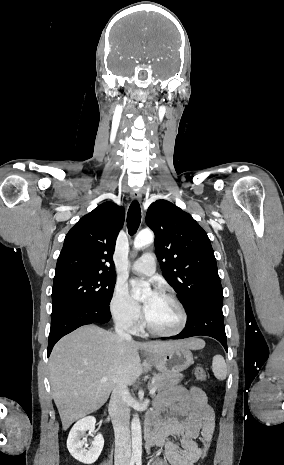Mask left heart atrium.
<instances>
[{
    "label": "left heart atrium",
    "instance_id": "left-heart-atrium-1",
    "mask_svg": "<svg viewBox=\"0 0 284 465\" xmlns=\"http://www.w3.org/2000/svg\"><path fill=\"white\" fill-rule=\"evenodd\" d=\"M135 287H136V284H133V285H132L131 292H133V290L135 289ZM157 295H158V294H157L156 292H152V293L149 295V297L146 299V301H145L143 304L140 305V308H141V310H142L143 313H145V312L149 309V307H150L152 301L154 300V298H155Z\"/></svg>",
    "mask_w": 284,
    "mask_h": 465
}]
</instances>
